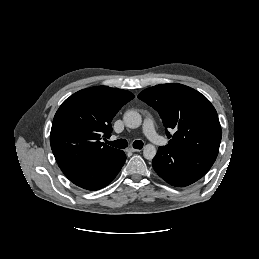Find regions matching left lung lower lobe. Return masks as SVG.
Listing matches in <instances>:
<instances>
[{
	"label": "left lung lower lobe",
	"mask_w": 259,
	"mask_h": 259,
	"mask_svg": "<svg viewBox=\"0 0 259 259\" xmlns=\"http://www.w3.org/2000/svg\"><path fill=\"white\" fill-rule=\"evenodd\" d=\"M217 155L208 153H181L161 146L152 161L156 173L167 183L188 186L204 176L216 160Z\"/></svg>",
	"instance_id": "1"
}]
</instances>
